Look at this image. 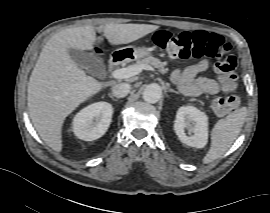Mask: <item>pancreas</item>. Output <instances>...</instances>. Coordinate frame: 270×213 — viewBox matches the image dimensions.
<instances>
[{
    "instance_id": "pancreas-1",
    "label": "pancreas",
    "mask_w": 270,
    "mask_h": 213,
    "mask_svg": "<svg viewBox=\"0 0 270 213\" xmlns=\"http://www.w3.org/2000/svg\"><path fill=\"white\" fill-rule=\"evenodd\" d=\"M137 65H142V64H146V65H152L155 68L158 69V71H160L161 73L165 74L168 73L169 69L166 68L167 63L166 62H162L157 58H154L152 56H149L147 58H144L142 60H137L136 61Z\"/></svg>"
}]
</instances>
